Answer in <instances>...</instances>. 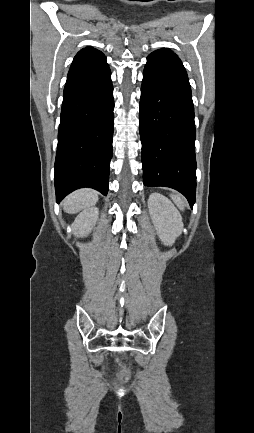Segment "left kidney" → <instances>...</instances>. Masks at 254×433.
<instances>
[{
    "label": "left kidney",
    "instance_id": "left-kidney-1",
    "mask_svg": "<svg viewBox=\"0 0 254 433\" xmlns=\"http://www.w3.org/2000/svg\"><path fill=\"white\" fill-rule=\"evenodd\" d=\"M148 208L159 238L164 245H172L183 229L179 211L170 200L157 192L149 196Z\"/></svg>",
    "mask_w": 254,
    "mask_h": 433
}]
</instances>
